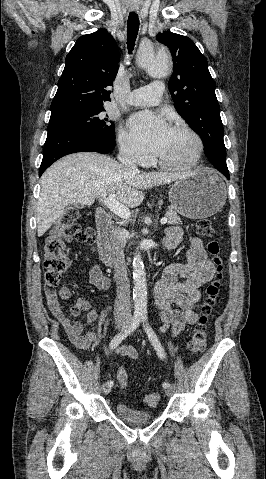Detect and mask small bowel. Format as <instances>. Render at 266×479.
I'll list each match as a JSON object with an SVG mask.
<instances>
[{"label": "small bowel", "instance_id": "obj_1", "mask_svg": "<svg viewBox=\"0 0 266 479\" xmlns=\"http://www.w3.org/2000/svg\"><path fill=\"white\" fill-rule=\"evenodd\" d=\"M71 239L70 236L67 237ZM182 241V230L172 226L167 230L163 240L167 249L177 248ZM215 274V267L201 240L197 237L191 241L185 263H175L167 266L161 279L155 284V305L160 310L162 321L161 331L171 329L173 336H178L188 325H193L198 320L197 308L201 299L200 288L203 284L211 281ZM183 278L184 280H180ZM90 282L99 290L110 288V279L105 276L98 265H93L89 272ZM71 286H63L58 290L48 291L45 289V297L48 308L54 317L60 322L68 334L70 341L81 350L90 349L101 342V336L95 332L84 333V325L70 318L78 317L82 312L86 314V325L93 324L101 316H105L111 310L106 306L102 312L93 307L90 301L81 297L69 310V315L63 308L61 301L71 296ZM118 355L137 359L138 351L131 346H119L116 348Z\"/></svg>", "mask_w": 266, "mask_h": 479}]
</instances>
